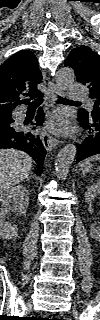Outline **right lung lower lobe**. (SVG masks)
<instances>
[{"instance_id":"1","label":"right lung lower lobe","mask_w":100,"mask_h":320,"mask_svg":"<svg viewBox=\"0 0 100 320\" xmlns=\"http://www.w3.org/2000/svg\"><path fill=\"white\" fill-rule=\"evenodd\" d=\"M42 97V95L40 96ZM42 109H38L36 125L43 123ZM14 120L9 118L0 123V148H14L27 152L37 163L36 174L41 175L46 150L42 140L34 132L26 129L15 128L11 125ZM35 129V127H33Z\"/></svg>"}]
</instances>
